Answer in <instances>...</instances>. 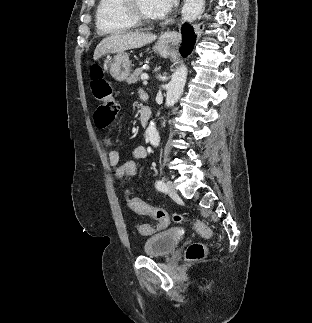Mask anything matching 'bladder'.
Listing matches in <instances>:
<instances>
[{"instance_id":"obj_1","label":"bladder","mask_w":312,"mask_h":323,"mask_svg":"<svg viewBox=\"0 0 312 323\" xmlns=\"http://www.w3.org/2000/svg\"><path fill=\"white\" fill-rule=\"evenodd\" d=\"M180 242V235L177 229L164 231L160 234H153L144 241L143 251L147 257H166L175 250V245Z\"/></svg>"}]
</instances>
